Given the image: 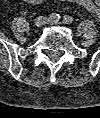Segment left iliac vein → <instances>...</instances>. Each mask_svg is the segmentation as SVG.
Masks as SVG:
<instances>
[{
	"instance_id": "left-iliac-vein-1",
	"label": "left iliac vein",
	"mask_w": 100,
	"mask_h": 118,
	"mask_svg": "<svg viewBox=\"0 0 100 118\" xmlns=\"http://www.w3.org/2000/svg\"><path fill=\"white\" fill-rule=\"evenodd\" d=\"M47 23H48V24H51V25H58V24H59L58 21H54V20H52V19H48Z\"/></svg>"
}]
</instances>
